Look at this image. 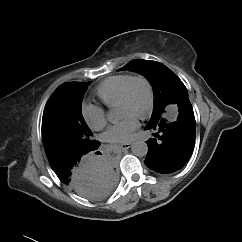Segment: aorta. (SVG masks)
<instances>
[{"mask_svg":"<svg viewBox=\"0 0 242 242\" xmlns=\"http://www.w3.org/2000/svg\"><path fill=\"white\" fill-rule=\"evenodd\" d=\"M106 116L109 122H115L118 119L117 114L112 110H110ZM131 151L137 157L146 156L148 153V145L144 141H136L132 144Z\"/></svg>","mask_w":242,"mask_h":242,"instance_id":"obj_1","label":"aorta"}]
</instances>
